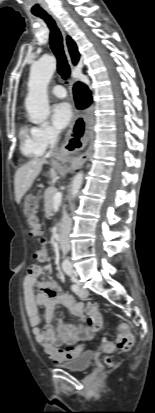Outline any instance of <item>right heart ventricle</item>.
<instances>
[{"label": "right heart ventricle", "mask_w": 155, "mask_h": 413, "mask_svg": "<svg viewBox=\"0 0 155 413\" xmlns=\"http://www.w3.org/2000/svg\"><path fill=\"white\" fill-rule=\"evenodd\" d=\"M19 138L20 150L25 157L38 158L43 154V151L39 148L34 139L33 128L26 125L21 126L19 130Z\"/></svg>", "instance_id": "1"}]
</instances>
